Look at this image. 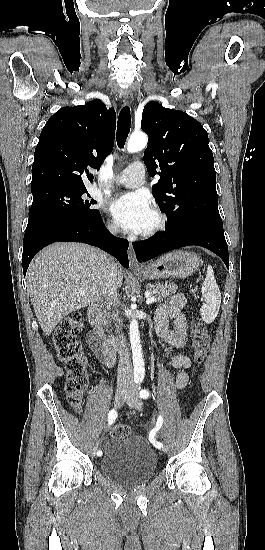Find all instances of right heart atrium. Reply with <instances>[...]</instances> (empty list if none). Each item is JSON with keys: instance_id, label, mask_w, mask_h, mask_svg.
I'll use <instances>...</instances> for the list:
<instances>
[{"instance_id": "right-heart-atrium-1", "label": "right heart atrium", "mask_w": 265, "mask_h": 550, "mask_svg": "<svg viewBox=\"0 0 265 550\" xmlns=\"http://www.w3.org/2000/svg\"><path fill=\"white\" fill-rule=\"evenodd\" d=\"M106 228H107V230H108L110 233H112V234H114V235H116V234L118 233V228H117V226H116L113 222H111V221H108V222L106 223Z\"/></svg>"}]
</instances>
